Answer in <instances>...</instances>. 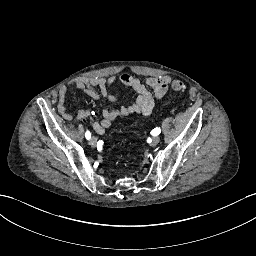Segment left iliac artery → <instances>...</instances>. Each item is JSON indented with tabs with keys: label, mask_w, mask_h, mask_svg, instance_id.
Here are the masks:
<instances>
[{
	"label": "left iliac artery",
	"mask_w": 256,
	"mask_h": 256,
	"mask_svg": "<svg viewBox=\"0 0 256 256\" xmlns=\"http://www.w3.org/2000/svg\"><path fill=\"white\" fill-rule=\"evenodd\" d=\"M160 132H161V129L157 127V128H155V129H153V130L151 131V134H152L153 136H157V135L160 134Z\"/></svg>",
	"instance_id": "obj_1"
}]
</instances>
